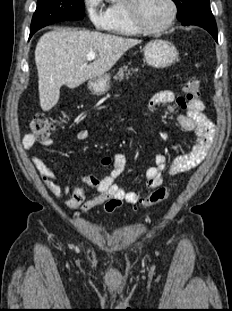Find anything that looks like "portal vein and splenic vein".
Masks as SVG:
<instances>
[{"label":"portal vein and splenic vein","instance_id":"obj_1","mask_svg":"<svg viewBox=\"0 0 232 311\" xmlns=\"http://www.w3.org/2000/svg\"><path fill=\"white\" fill-rule=\"evenodd\" d=\"M95 57H96V53H94V52H89L88 54H87V60L88 61H91V60H94L95 59Z\"/></svg>","mask_w":232,"mask_h":311}]
</instances>
